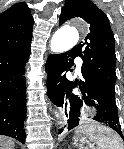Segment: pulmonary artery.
<instances>
[{
	"instance_id": "pulmonary-artery-1",
	"label": "pulmonary artery",
	"mask_w": 124,
	"mask_h": 149,
	"mask_svg": "<svg viewBox=\"0 0 124 149\" xmlns=\"http://www.w3.org/2000/svg\"><path fill=\"white\" fill-rule=\"evenodd\" d=\"M77 61H78V69H79L81 67V60L78 59Z\"/></svg>"
}]
</instances>
